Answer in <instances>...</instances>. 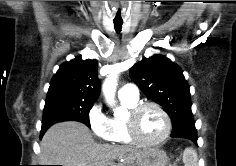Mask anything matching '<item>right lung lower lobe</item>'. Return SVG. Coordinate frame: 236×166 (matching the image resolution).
<instances>
[{"label": "right lung lower lobe", "mask_w": 236, "mask_h": 166, "mask_svg": "<svg viewBox=\"0 0 236 166\" xmlns=\"http://www.w3.org/2000/svg\"><path fill=\"white\" fill-rule=\"evenodd\" d=\"M46 131V130H45ZM44 130H41V137L43 136V134L45 133Z\"/></svg>", "instance_id": "1"}]
</instances>
